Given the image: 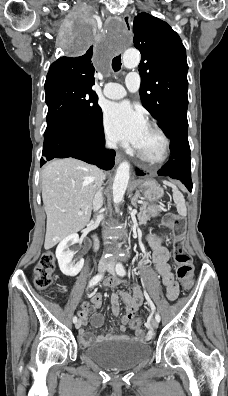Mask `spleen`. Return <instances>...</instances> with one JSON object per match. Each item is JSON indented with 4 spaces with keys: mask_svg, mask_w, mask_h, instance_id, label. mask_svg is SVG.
Listing matches in <instances>:
<instances>
[{
    "mask_svg": "<svg viewBox=\"0 0 228 396\" xmlns=\"http://www.w3.org/2000/svg\"><path fill=\"white\" fill-rule=\"evenodd\" d=\"M165 183L172 187L173 200L176 204L178 213L182 216H186L187 209H186V204H185V199H184L183 194L178 190V188L174 184L167 182V181H165Z\"/></svg>",
    "mask_w": 228,
    "mask_h": 396,
    "instance_id": "obj_1",
    "label": "spleen"
}]
</instances>
